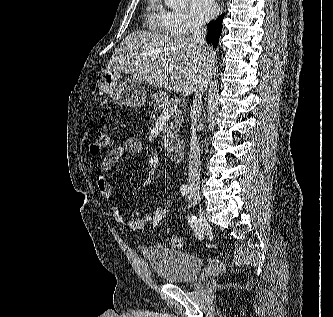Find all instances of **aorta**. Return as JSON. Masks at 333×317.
I'll return each instance as SVG.
<instances>
[{
	"mask_svg": "<svg viewBox=\"0 0 333 317\" xmlns=\"http://www.w3.org/2000/svg\"><path fill=\"white\" fill-rule=\"evenodd\" d=\"M165 4L172 9L182 8L188 0H164Z\"/></svg>",
	"mask_w": 333,
	"mask_h": 317,
	"instance_id": "762f6f07",
	"label": "aorta"
}]
</instances>
